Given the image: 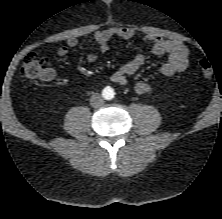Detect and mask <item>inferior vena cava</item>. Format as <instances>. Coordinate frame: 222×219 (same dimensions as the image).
<instances>
[{
    "instance_id": "1",
    "label": "inferior vena cava",
    "mask_w": 222,
    "mask_h": 219,
    "mask_svg": "<svg viewBox=\"0 0 222 219\" xmlns=\"http://www.w3.org/2000/svg\"><path fill=\"white\" fill-rule=\"evenodd\" d=\"M103 98L101 95L95 93L91 96L90 105L93 107H100L103 104Z\"/></svg>"
}]
</instances>
